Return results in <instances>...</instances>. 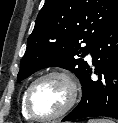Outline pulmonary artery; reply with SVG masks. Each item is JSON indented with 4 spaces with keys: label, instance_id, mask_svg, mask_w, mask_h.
<instances>
[{
    "label": "pulmonary artery",
    "instance_id": "obj_1",
    "mask_svg": "<svg viewBox=\"0 0 118 123\" xmlns=\"http://www.w3.org/2000/svg\"><path fill=\"white\" fill-rule=\"evenodd\" d=\"M91 58H92V56H91V54H89V55H88V59L91 60Z\"/></svg>",
    "mask_w": 118,
    "mask_h": 123
}]
</instances>
